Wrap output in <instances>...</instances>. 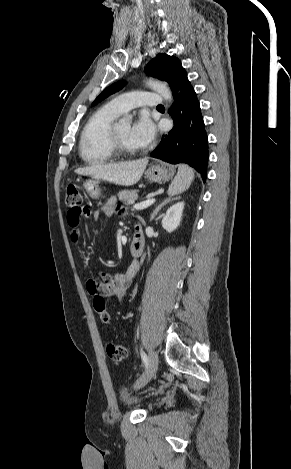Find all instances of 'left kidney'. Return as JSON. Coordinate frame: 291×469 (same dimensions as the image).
I'll return each mask as SVG.
<instances>
[{
    "mask_svg": "<svg viewBox=\"0 0 291 469\" xmlns=\"http://www.w3.org/2000/svg\"><path fill=\"white\" fill-rule=\"evenodd\" d=\"M184 209V202H178L171 206L164 215L162 219V227L168 231L172 232L180 225L182 219V213Z\"/></svg>",
    "mask_w": 291,
    "mask_h": 469,
    "instance_id": "5707ae66",
    "label": "left kidney"
}]
</instances>
